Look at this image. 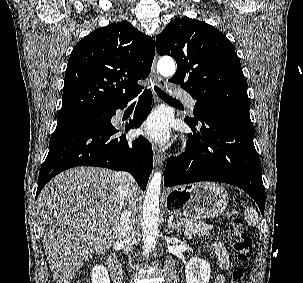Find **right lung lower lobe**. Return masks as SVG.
<instances>
[{
  "mask_svg": "<svg viewBox=\"0 0 303 283\" xmlns=\"http://www.w3.org/2000/svg\"><path fill=\"white\" fill-rule=\"evenodd\" d=\"M151 102V91L146 89L140 96L136 113L126 125L125 131L143 122L149 113ZM126 105L108 110L111 118L117 109H124ZM118 132L111 121L100 126L80 124L56 128L50 138L48 155L40 169L36 198L50 179L76 166L127 171L144 191L153 168L151 145L142 136L127 141L125 135H118Z\"/></svg>",
  "mask_w": 303,
  "mask_h": 283,
  "instance_id": "obj_1",
  "label": "right lung lower lobe"
}]
</instances>
